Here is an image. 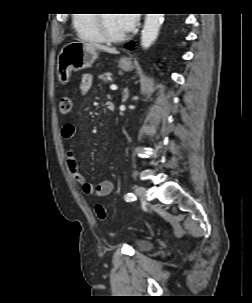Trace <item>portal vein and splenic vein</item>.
<instances>
[{
    "label": "portal vein and splenic vein",
    "mask_w": 252,
    "mask_h": 303,
    "mask_svg": "<svg viewBox=\"0 0 252 303\" xmlns=\"http://www.w3.org/2000/svg\"><path fill=\"white\" fill-rule=\"evenodd\" d=\"M110 89H111V90H117V86H116L115 84H112V85L110 86Z\"/></svg>",
    "instance_id": "portal-vein-and-splenic-vein-1"
}]
</instances>
